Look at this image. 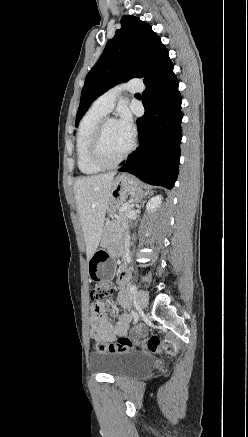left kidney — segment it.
Wrapping results in <instances>:
<instances>
[{"label": "left kidney", "mask_w": 248, "mask_h": 437, "mask_svg": "<svg viewBox=\"0 0 248 437\" xmlns=\"http://www.w3.org/2000/svg\"><path fill=\"white\" fill-rule=\"evenodd\" d=\"M161 201H162L161 195H157V196L152 197L146 205L147 211L151 212V213L154 212L157 208L160 207Z\"/></svg>", "instance_id": "5707ae66"}]
</instances>
